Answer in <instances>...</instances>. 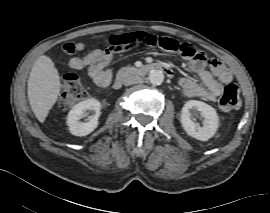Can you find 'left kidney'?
I'll return each instance as SVG.
<instances>
[{
    "mask_svg": "<svg viewBox=\"0 0 270 213\" xmlns=\"http://www.w3.org/2000/svg\"><path fill=\"white\" fill-rule=\"evenodd\" d=\"M191 110H197L202 114L204 118L203 126L193 121ZM180 121L189 136L201 141L212 138L218 129L216 110L212 106L197 100H189L184 104Z\"/></svg>",
    "mask_w": 270,
    "mask_h": 213,
    "instance_id": "1",
    "label": "left kidney"
}]
</instances>
